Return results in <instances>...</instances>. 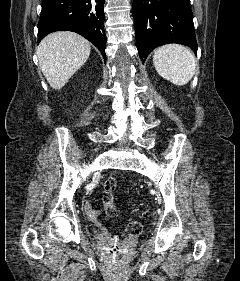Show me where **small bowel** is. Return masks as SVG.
Returning <instances> with one entry per match:
<instances>
[{
    "label": "small bowel",
    "mask_w": 240,
    "mask_h": 281,
    "mask_svg": "<svg viewBox=\"0 0 240 281\" xmlns=\"http://www.w3.org/2000/svg\"><path fill=\"white\" fill-rule=\"evenodd\" d=\"M85 209H86V213H87V215L89 216L90 219L93 220V219H95L97 217L98 211L93 209L91 207V205L87 204Z\"/></svg>",
    "instance_id": "small-bowel-1"
}]
</instances>
